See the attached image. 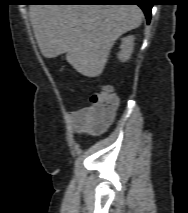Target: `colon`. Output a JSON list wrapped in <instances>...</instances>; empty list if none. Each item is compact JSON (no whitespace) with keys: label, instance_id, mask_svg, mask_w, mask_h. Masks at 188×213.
Wrapping results in <instances>:
<instances>
[{"label":"colon","instance_id":"1","mask_svg":"<svg viewBox=\"0 0 188 213\" xmlns=\"http://www.w3.org/2000/svg\"><path fill=\"white\" fill-rule=\"evenodd\" d=\"M90 102L88 116L95 126L111 120L118 106V98L108 85L92 94Z\"/></svg>","mask_w":188,"mask_h":213}]
</instances>
